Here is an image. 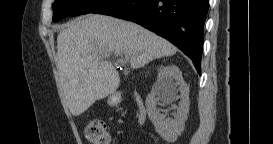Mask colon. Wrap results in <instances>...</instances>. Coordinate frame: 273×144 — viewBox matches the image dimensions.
I'll use <instances>...</instances> for the list:
<instances>
[{
    "mask_svg": "<svg viewBox=\"0 0 273 144\" xmlns=\"http://www.w3.org/2000/svg\"><path fill=\"white\" fill-rule=\"evenodd\" d=\"M85 136L90 143L108 144L110 142V133L101 120H92L85 127Z\"/></svg>",
    "mask_w": 273,
    "mask_h": 144,
    "instance_id": "1",
    "label": "colon"
}]
</instances>
